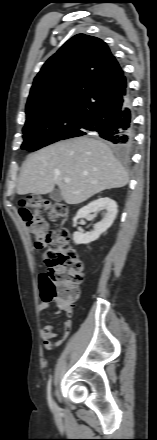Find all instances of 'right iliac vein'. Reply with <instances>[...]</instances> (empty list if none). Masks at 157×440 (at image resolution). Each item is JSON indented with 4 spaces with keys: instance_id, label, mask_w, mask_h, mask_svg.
<instances>
[{
    "instance_id": "1",
    "label": "right iliac vein",
    "mask_w": 157,
    "mask_h": 440,
    "mask_svg": "<svg viewBox=\"0 0 157 440\" xmlns=\"http://www.w3.org/2000/svg\"><path fill=\"white\" fill-rule=\"evenodd\" d=\"M54 408H55V410H57V406H56V404H54Z\"/></svg>"
}]
</instances>
